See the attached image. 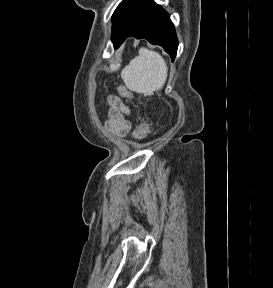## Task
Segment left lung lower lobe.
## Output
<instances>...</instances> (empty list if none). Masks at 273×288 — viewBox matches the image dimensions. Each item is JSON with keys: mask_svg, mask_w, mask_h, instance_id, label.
<instances>
[{"mask_svg": "<svg viewBox=\"0 0 273 288\" xmlns=\"http://www.w3.org/2000/svg\"><path fill=\"white\" fill-rule=\"evenodd\" d=\"M129 36L162 46L174 61L178 40L173 23L170 15L153 0H131L112 35L114 48Z\"/></svg>", "mask_w": 273, "mask_h": 288, "instance_id": "1", "label": "left lung lower lobe"}]
</instances>
